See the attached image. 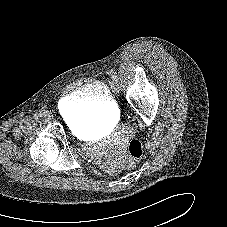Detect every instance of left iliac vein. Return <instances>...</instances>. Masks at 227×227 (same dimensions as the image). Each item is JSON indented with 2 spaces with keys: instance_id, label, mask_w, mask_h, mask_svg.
Segmentation results:
<instances>
[{
  "instance_id": "4c4485c4",
  "label": "left iliac vein",
  "mask_w": 227,
  "mask_h": 227,
  "mask_svg": "<svg viewBox=\"0 0 227 227\" xmlns=\"http://www.w3.org/2000/svg\"><path fill=\"white\" fill-rule=\"evenodd\" d=\"M112 86H113V88H114V90L115 91H119V85H118V83L117 82H112Z\"/></svg>"
}]
</instances>
